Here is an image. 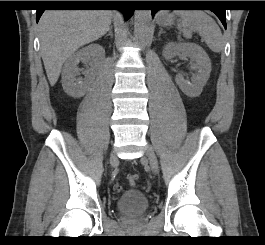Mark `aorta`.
I'll list each match as a JSON object with an SVG mask.
<instances>
[{
  "label": "aorta",
  "instance_id": "aorta-1",
  "mask_svg": "<svg viewBox=\"0 0 265 245\" xmlns=\"http://www.w3.org/2000/svg\"><path fill=\"white\" fill-rule=\"evenodd\" d=\"M151 10H136L134 14V28L137 37L143 40L147 35L151 23Z\"/></svg>",
  "mask_w": 265,
  "mask_h": 245
}]
</instances>
